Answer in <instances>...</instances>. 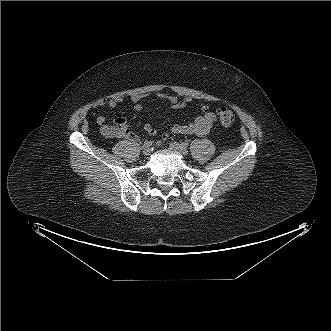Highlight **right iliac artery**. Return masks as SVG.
I'll return each instance as SVG.
<instances>
[{
	"mask_svg": "<svg viewBox=\"0 0 331 331\" xmlns=\"http://www.w3.org/2000/svg\"><path fill=\"white\" fill-rule=\"evenodd\" d=\"M152 143H153L152 141H145L144 144H143V146H142V148L149 147V146L152 145Z\"/></svg>",
	"mask_w": 331,
	"mask_h": 331,
	"instance_id": "obj_1",
	"label": "right iliac artery"
}]
</instances>
